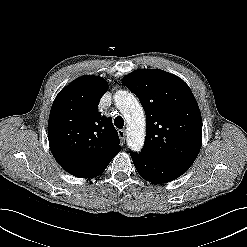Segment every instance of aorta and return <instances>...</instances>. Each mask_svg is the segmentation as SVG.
<instances>
[{"label":"aorta","mask_w":247,"mask_h":247,"mask_svg":"<svg viewBox=\"0 0 247 247\" xmlns=\"http://www.w3.org/2000/svg\"><path fill=\"white\" fill-rule=\"evenodd\" d=\"M114 101L127 122V144L135 152H139L146 135V121L142 106L138 100L126 90H119Z\"/></svg>","instance_id":"aorta-1"}]
</instances>
